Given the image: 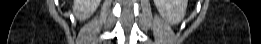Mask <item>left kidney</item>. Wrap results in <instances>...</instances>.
<instances>
[{
  "mask_svg": "<svg viewBox=\"0 0 261 44\" xmlns=\"http://www.w3.org/2000/svg\"><path fill=\"white\" fill-rule=\"evenodd\" d=\"M187 2V0H154L162 18L171 25L178 24L183 20Z\"/></svg>",
  "mask_w": 261,
  "mask_h": 44,
  "instance_id": "obj_1",
  "label": "left kidney"
}]
</instances>
